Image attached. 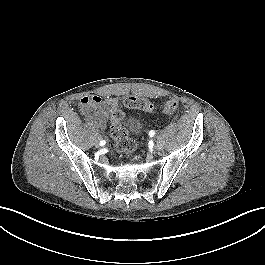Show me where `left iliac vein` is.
Here are the masks:
<instances>
[{
    "label": "left iliac vein",
    "mask_w": 265,
    "mask_h": 265,
    "mask_svg": "<svg viewBox=\"0 0 265 265\" xmlns=\"http://www.w3.org/2000/svg\"><path fill=\"white\" fill-rule=\"evenodd\" d=\"M154 148H155V150H157V151H160V150H162V149L164 148V144H163V142H162L161 139H158V140H157V142H156Z\"/></svg>",
    "instance_id": "1"
}]
</instances>
